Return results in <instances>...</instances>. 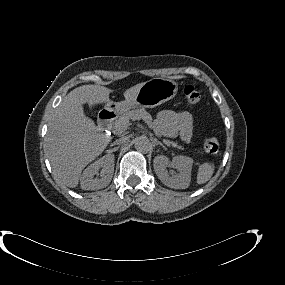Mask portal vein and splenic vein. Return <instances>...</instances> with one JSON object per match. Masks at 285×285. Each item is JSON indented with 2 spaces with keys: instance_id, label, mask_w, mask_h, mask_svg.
Returning a JSON list of instances; mask_svg holds the SVG:
<instances>
[{
  "instance_id": "obj_1",
  "label": "portal vein and splenic vein",
  "mask_w": 285,
  "mask_h": 285,
  "mask_svg": "<svg viewBox=\"0 0 285 285\" xmlns=\"http://www.w3.org/2000/svg\"><path fill=\"white\" fill-rule=\"evenodd\" d=\"M146 123H147V125H151V122L150 121H148V120H146V119H143Z\"/></svg>"
}]
</instances>
